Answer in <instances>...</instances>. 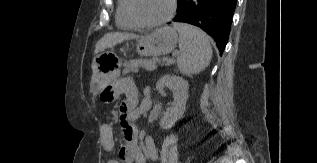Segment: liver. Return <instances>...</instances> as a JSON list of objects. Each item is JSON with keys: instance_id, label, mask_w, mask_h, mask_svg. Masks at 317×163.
I'll return each instance as SVG.
<instances>
[{"instance_id": "6515ba94", "label": "liver", "mask_w": 317, "mask_h": 163, "mask_svg": "<svg viewBox=\"0 0 317 163\" xmlns=\"http://www.w3.org/2000/svg\"><path fill=\"white\" fill-rule=\"evenodd\" d=\"M139 36L131 33L114 32L105 34L95 46L94 53L98 54L107 48H112L115 45L122 43L125 40L138 39Z\"/></svg>"}]
</instances>
